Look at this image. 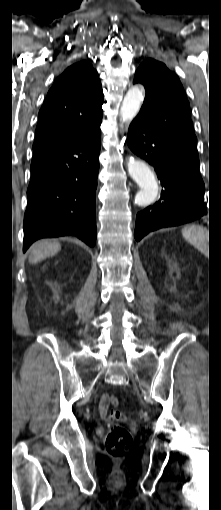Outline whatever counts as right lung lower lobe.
Wrapping results in <instances>:
<instances>
[{
	"label": "right lung lower lobe",
	"mask_w": 221,
	"mask_h": 510,
	"mask_svg": "<svg viewBox=\"0 0 221 510\" xmlns=\"http://www.w3.org/2000/svg\"><path fill=\"white\" fill-rule=\"evenodd\" d=\"M100 124L34 150L23 226L24 252L38 239L69 235L90 247L95 245Z\"/></svg>",
	"instance_id": "right-lung-lower-lobe-1"
}]
</instances>
